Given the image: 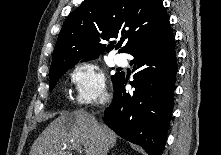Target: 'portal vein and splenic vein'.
Masks as SVG:
<instances>
[{
	"label": "portal vein and splenic vein",
	"instance_id": "obj_1",
	"mask_svg": "<svg viewBox=\"0 0 221 155\" xmlns=\"http://www.w3.org/2000/svg\"><path fill=\"white\" fill-rule=\"evenodd\" d=\"M70 149H75V150H78L81 152V148L79 146H76V145H72L69 147Z\"/></svg>",
	"mask_w": 221,
	"mask_h": 155
}]
</instances>
